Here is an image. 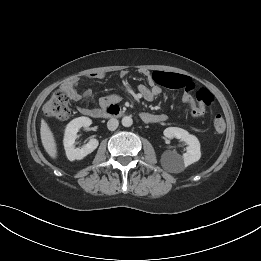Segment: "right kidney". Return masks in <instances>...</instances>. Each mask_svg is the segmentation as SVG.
<instances>
[{"label": "right kidney", "mask_w": 261, "mask_h": 261, "mask_svg": "<svg viewBox=\"0 0 261 261\" xmlns=\"http://www.w3.org/2000/svg\"><path fill=\"white\" fill-rule=\"evenodd\" d=\"M92 121L88 117H78L73 119L67 124L64 135V148L66 156L70 161L81 160L88 154L92 153L99 145L97 139H90L89 142L82 148H75V140L77 138V132L81 127H89Z\"/></svg>", "instance_id": "right-kidney-1"}]
</instances>
